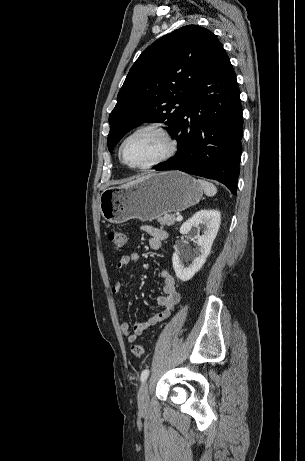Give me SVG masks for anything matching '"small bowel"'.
<instances>
[{
    "label": "small bowel",
    "instance_id": "1",
    "mask_svg": "<svg viewBox=\"0 0 305 461\" xmlns=\"http://www.w3.org/2000/svg\"><path fill=\"white\" fill-rule=\"evenodd\" d=\"M143 230L149 235V246L152 250L158 251L161 249L163 242L168 238V232L162 228L153 226H144ZM140 260V255L137 252H131L121 257L117 263L118 270H125L130 264L137 263ZM162 279L163 294L155 298V302L162 307V310L152 314L146 321L137 323L133 328L127 322H123L120 326L122 334L128 342H134L138 336L167 319L174 311L175 306L180 302L181 295L176 288L175 279L171 271L163 267L159 271ZM123 289L121 281H117L111 287V294L114 298H118Z\"/></svg>",
    "mask_w": 305,
    "mask_h": 461
}]
</instances>
